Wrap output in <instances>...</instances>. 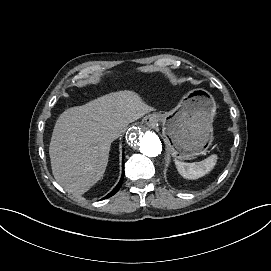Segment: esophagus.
Returning a JSON list of instances; mask_svg holds the SVG:
<instances>
[{
  "instance_id": "34e87169",
  "label": "esophagus",
  "mask_w": 271,
  "mask_h": 271,
  "mask_svg": "<svg viewBox=\"0 0 271 271\" xmlns=\"http://www.w3.org/2000/svg\"><path fill=\"white\" fill-rule=\"evenodd\" d=\"M158 122V118L155 114L148 115L146 118V124L150 127H154Z\"/></svg>"
}]
</instances>
